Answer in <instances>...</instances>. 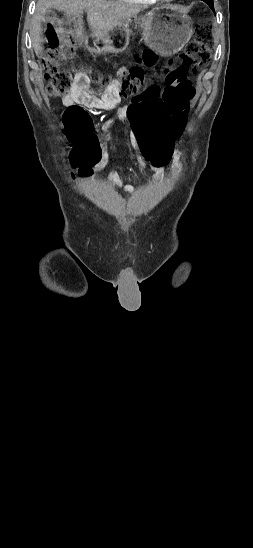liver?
Returning <instances> with one entry per match:
<instances>
[{
	"label": "liver",
	"mask_w": 253,
	"mask_h": 548,
	"mask_svg": "<svg viewBox=\"0 0 253 548\" xmlns=\"http://www.w3.org/2000/svg\"><path fill=\"white\" fill-rule=\"evenodd\" d=\"M52 8L73 17H80L85 11L90 29L102 37L121 27L141 11L138 6L110 0H38L30 29L36 54L42 51L41 44L44 41L41 37V21Z\"/></svg>",
	"instance_id": "liver-1"
}]
</instances>
